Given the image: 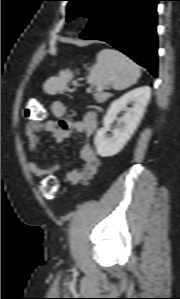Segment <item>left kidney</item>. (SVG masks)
I'll return each instance as SVG.
<instances>
[{"label": "left kidney", "mask_w": 180, "mask_h": 299, "mask_svg": "<svg viewBox=\"0 0 180 299\" xmlns=\"http://www.w3.org/2000/svg\"><path fill=\"white\" fill-rule=\"evenodd\" d=\"M150 93V87H140L111 103L103 119V127L97 131L94 139L98 155L101 157L114 156L124 147L144 115L150 100ZM128 104L132 106L127 107ZM121 111H125V114L118 118L117 115ZM114 121L118 122V127L112 131V136H109L107 132L110 131Z\"/></svg>", "instance_id": "1"}]
</instances>
